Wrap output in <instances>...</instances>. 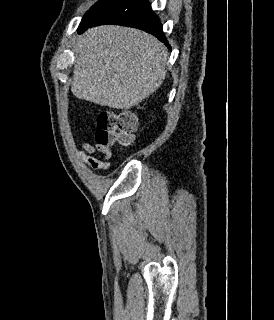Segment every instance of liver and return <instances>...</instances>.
<instances>
[{
    "label": "liver",
    "instance_id": "obj_1",
    "mask_svg": "<svg viewBox=\"0 0 274 320\" xmlns=\"http://www.w3.org/2000/svg\"><path fill=\"white\" fill-rule=\"evenodd\" d=\"M73 52L71 90L79 100L129 110L154 94L165 80L167 48L141 30L89 28Z\"/></svg>",
    "mask_w": 274,
    "mask_h": 320
}]
</instances>
